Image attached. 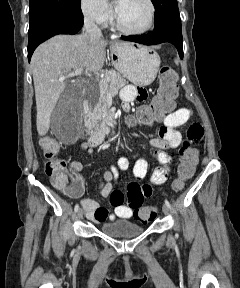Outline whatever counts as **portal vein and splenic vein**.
<instances>
[{
	"label": "portal vein and splenic vein",
	"instance_id": "18ae733b",
	"mask_svg": "<svg viewBox=\"0 0 240 288\" xmlns=\"http://www.w3.org/2000/svg\"><path fill=\"white\" fill-rule=\"evenodd\" d=\"M82 72H83V68H78V69H76L75 71L69 73L68 75L60 77L58 80H59V81H64L67 77L78 76V75H80Z\"/></svg>",
	"mask_w": 240,
	"mask_h": 288
}]
</instances>
